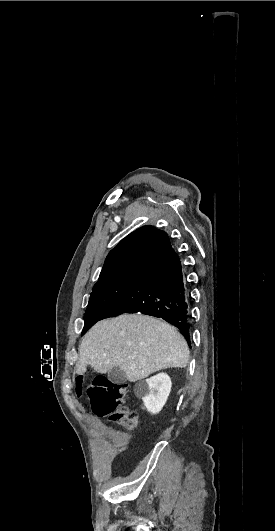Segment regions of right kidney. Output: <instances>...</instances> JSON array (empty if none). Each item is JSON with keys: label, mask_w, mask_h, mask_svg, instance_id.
Segmentation results:
<instances>
[{"label": "right kidney", "mask_w": 275, "mask_h": 531, "mask_svg": "<svg viewBox=\"0 0 275 531\" xmlns=\"http://www.w3.org/2000/svg\"><path fill=\"white\" fill-rule=\"evenodd\" d=\"M172 383L167 373H159L145 381H139L134 387L136 397H140L147 411L157 415L162 411L171 391Z\"/></svg>", "instance_id": "ca27d5eb"}]
</instances>
